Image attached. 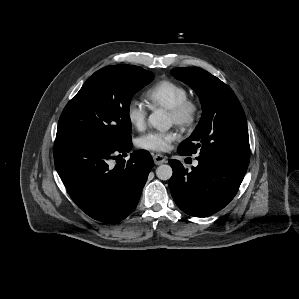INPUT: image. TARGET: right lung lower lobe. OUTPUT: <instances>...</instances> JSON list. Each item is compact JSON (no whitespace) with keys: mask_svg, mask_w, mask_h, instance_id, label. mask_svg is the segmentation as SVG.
Segmentation results:
<instances>
[{"mask_svg":"<svg viewBox=\"0 0 299 299\" xmlns=\"http://www.w3.org/2000/svg\"><path fill=\"white\" fill-rule=\"evenodd\" d=\"M131 140L121 146L55 141L54 162L73 201L90 217L106 223L125 219L137 206L153 159L146 150L134 151Z\"/></svg>","mask_w":299,"mask_h":299,"instance_id":"98d812e1","label":"right lung lower lobe"}]
</instances>
